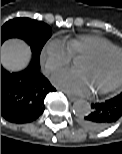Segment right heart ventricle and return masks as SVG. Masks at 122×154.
I'll list each match as a JSON object with an SVG mask.
<instances>
[{"label":"right heart ventricle","instance_id":"1","mask_svg":"<svg viewBox=\"0 0 122 154\" xmlns=\"http://www.w3.org/2000/svg\"><path fill=\"white\" fill-rule=\"evenodd\" d=\"M73 57H85L90 53L113 47L114 44L105 37L95 34L80 35L66 41Z\"/></svg>","mask_w":122,"mask_h":154}]
</instances>
